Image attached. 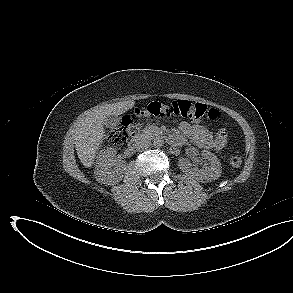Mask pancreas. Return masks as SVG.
Instances as JSON below:
<instances>
[{"label":"pancreas","instance_id":"cf45deb5","mask_svg":"<svg viewBox=\"0 0 293 293\" xmlns=\"http://www.w3.org/2000/svg\"><path fill=\"white\" fill-rule=\"evenodd\" d=\"M143 133L147 136H158L161 134L160 128L154 125H150L144 128Z\"/></svg>","mask_w":293,"mask_h":293}]
</instances>
